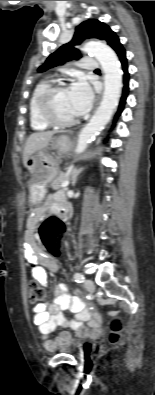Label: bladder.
Wrapping results in <instances>:
<instances>
[{"instance_id":"1","label":"bladder","mask_w":155,"mask_h":395,"mask_svg":"<svg viewBox=\"0 0 155 395\" xmlns=\"http://www.w3.org/2000/svg\"><path fill=\"white\" fill-rule=\"evenodd\" d=\"M94 349V342L91 340H76L71 339L60 344L57 350L60 353L73 355H86Z\"/></svg>"}]
</instances>
